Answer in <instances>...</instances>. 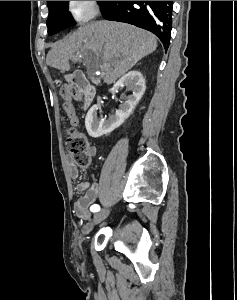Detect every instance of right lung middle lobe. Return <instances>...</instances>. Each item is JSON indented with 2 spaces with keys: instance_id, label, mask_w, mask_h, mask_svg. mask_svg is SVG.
<instances>
[{
  "instance_id": "dd1d6c3e",
  "label": "right lung middle lobe",
  "mask_w": 237,
  "mask_h": 300,
  "mask_svg": "<svg viewBox=\"0 0 237 300\" xmlns=\"http://www.w3.org/2000/svg\"><path fill=\"white\" fill-rule=\"evenodd\" d=\"M101 4L104 1H99ZM49 16L47 19L48 34L53 35L59 31L75 25L70 12L68 1H47Z\"/></svg>"
}]
</instances>
